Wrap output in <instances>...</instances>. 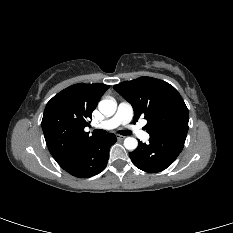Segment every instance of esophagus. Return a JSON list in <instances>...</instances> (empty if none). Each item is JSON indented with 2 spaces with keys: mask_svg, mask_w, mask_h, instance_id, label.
Segmentation results:
<instances>
[{
  "mask_svg": "<svg viewBox=\"0 0 233 233\" xmlns=\"http://www.w3.org/2000/svg\"><path fill=\"white\" fill-rule=\"evenodd\" d=\"M117 139L118 140H123V139H125V136H123V135H117Z\"/></svg>",
  "mask_w": 233,
  "mask_h": 233,
  "instance_id": "obj_1",
  "label": "esophagus"
}]
</instances>
